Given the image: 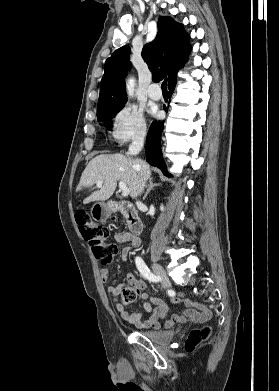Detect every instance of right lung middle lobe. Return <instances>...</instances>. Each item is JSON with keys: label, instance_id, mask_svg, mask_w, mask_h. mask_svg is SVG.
I'll use <instances>...</instances> for the list:
<instances>
[{"label": "right lung middle lobe", "instance_id": "dd1d6c3e", "mask_svg": "<svg viewBox=\"0 0 279 391\" xmlns=\"http://www.w3.org/2000/svg\"><path fill=\"white\" fill-rule=\"evenodd\" d=\"M122 106L106 109L102 112L97 113L99 121L109 122L116 113L121 110Z\"/></svg>", "mask_w": 279, "mask_h": 391}]
</instances>
